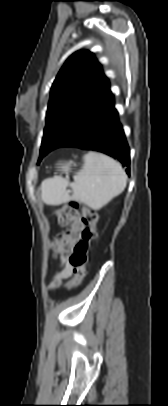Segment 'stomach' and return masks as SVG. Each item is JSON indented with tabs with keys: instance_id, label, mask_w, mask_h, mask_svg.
<instances>
[{
	"instance_id": "obj_1",
	"label": "stomach",
	"mask_w": 168,
	"mask_h": 406,
	"mask_svg": "<svg viewBox=\"0 0 168 406\" xmlns=\"http://www.w3.org/2000/svg\"><path fill=\"white\" fill-rule=\"evenodd\" d=\"M72 162H62L58 165V169L65 174H68L71 170Z\"/></svg>"
}]
</instances>
